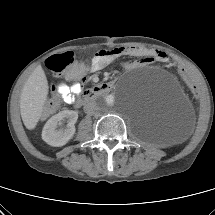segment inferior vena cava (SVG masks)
<instances>
[{
    "instance_id": "inferior-vena-cava-1",
    "label": "inferior vena cava",
    "mask_w": 215,
    "mask_h": 215,
    "mask_svg": "<svg viewBox=\"0 0 215 215\" xmlns=\"http://www.w3.org/2000/svg\"><path fill=\"white\" fill-rule=\"evenodd\" d=\"M97 107V103L96 102H90V103H87L85 106H84V111L88 114L92 113Z\"/></svg>"
}]
</instances>
